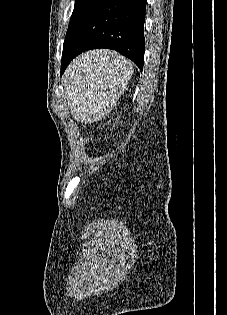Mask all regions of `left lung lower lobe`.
Masks as SVG:
<instances>
[{"label":"left lung lower lobe","mask_w":227,"mask_h":315,"mask_svg":"<svg viewBox=\"0 0 227 315\" xmlns=\"http://www.w3.org/2000/svg\"><path fill=\"white\" fill-rule=\"evenodd\" d=\"M147 0H98L64 43L61 74L84 51L106 48L131 59L142 71Z\"/></svg>","instance_id":"0a47b994"}]
</instances>
